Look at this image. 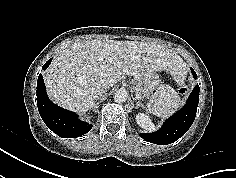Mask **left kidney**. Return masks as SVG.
Wrapping results in <instances>:
<instances>
[{
	"instance_id": "1",
	"label": "left kidney",
	"mask_w": 236,
	"mask_h": 178,
	"mask_svg": "<svg viewBox=\"0 0 236 178\" xmlns=\"http://www.w3.org/2000/svg\"><path fill=\"white\" fill-rule=\"evenodd\" d=\"M136 122L137 124L141 127L144 128L148 131H152L155 129L154 124L152 123L151 119L149 118V116H147L144 113H138L136 114Z\"/></svg>"
}]
</instances>
